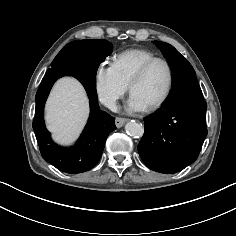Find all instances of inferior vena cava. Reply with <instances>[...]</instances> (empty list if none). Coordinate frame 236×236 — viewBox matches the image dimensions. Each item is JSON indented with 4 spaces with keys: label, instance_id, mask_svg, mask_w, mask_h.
I'll use <instances>...</instances> for the list:
<instances>
[{
    "label": "inferior vena cava",
    "instance_id": "obj_1",
    "mask_svg": "<svg viewBox=\"0 0 236 236\" xmlns=\"http://www.w3.org/2000/svg\"><path fill=\"white\" fill-rule=\"evenodd\" d=\"M105 106L110 109L112 112L117 113L118 112V107L116 105V102L114 100H107L105 102Z\"/></svg>",
    "mask_w": 236,
    "mask_h": 236
}]
</instances>
